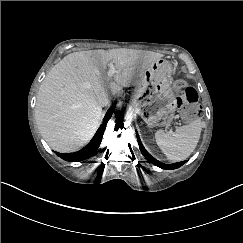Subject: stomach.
<instances>
[{
  "instance_id": "0dacf381",
  "label": "stomach",
  "mask_w": 243,
  "mask_h": 243,
  "mask_svg": "<svg viewBox=\"0 0 243 243\" xmlns=\"http://www.w3.org/2000/svg\"><path fill=\"white\" fill-rule=\"evenodd\" d=\"M172 67L163 59L137 76L132 103L149 127L168 126L174 119L177 99L169 83Z\"/></svg>"
}]
</instances>
